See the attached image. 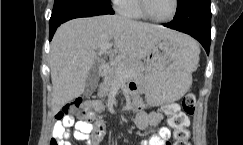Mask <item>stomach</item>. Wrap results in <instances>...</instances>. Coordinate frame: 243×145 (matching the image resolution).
I'll return each instance as SVG.
<instances>
[{
	"mask_svg": "<svg viewBox=\"0 0 243 145\" xmlns=\"http://www.w3.org/2000/svg\"><path fill=\"white\" fill-rule=\"evenodd\" d=\"M197 43L158 41L147 57L144 84L148 106H166L179 100L192 84V72L199 58Z\"/></svg>",
	"mask_w": 243,
	"mask_h": 145,
	"instance_id": "1",
	"label": "stomach"
}]
</instances>
